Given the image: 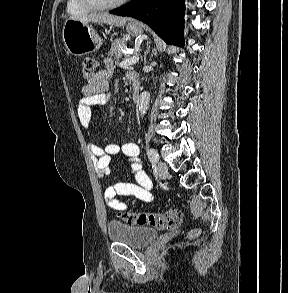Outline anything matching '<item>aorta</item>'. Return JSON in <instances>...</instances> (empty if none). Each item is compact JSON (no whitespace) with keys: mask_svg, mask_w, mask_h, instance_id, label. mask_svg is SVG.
<instances>
[{"mask_svg":"<svg viewBox=\"0 0 288 293\" xmlns=\"http://www.w3.org/2000/svg\"><path fill=\"white\" fill-rule=\"evenodd\" d=\"M150 94L146 91L142 92L139 98L138 110L141 116H144L148 110Z\"/></svg>","mask_w":288,"mask_h":293,"instance_id":"762f6f07","label":"aorta"}]
</instances>
